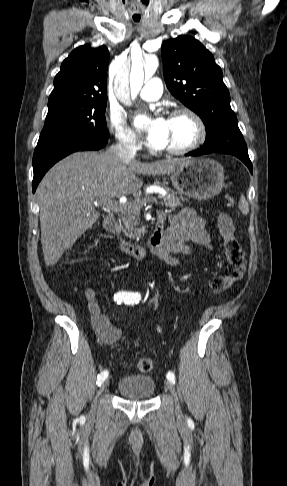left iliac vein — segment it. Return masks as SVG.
<instances>
[{"label":"left iliac vein","instance_id":"1","mask_svg":"<svg viewBox=\"0 0 287 486\" xmlns=\"http://www.w3.org/2000/svg\"><path fill=\"white\" fill-rule=\"evenodd\" d=\"M165 386L167 388V390L171 393V395L173 396L174 398V402H175V412H176V415L177 416H180L181 415V409H180V405H179V402H178V398H177V395H176V392H175V389L174 387L171 385L170 382L166 381L165 382Z\"/></svg>","mask_w":287,"mask_h":486}]
</instances>
